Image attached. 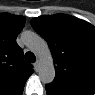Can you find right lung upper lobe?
I'll return each mask as SVG.
<instances>
[{"instance_id": "1", "label": "right lung upper lobe", "mask_w": 95, "mask_h": 95, "mask_svg": "<svg viewBox=\"0 0 95 95\" xmlns=\"http://www.w3.org/2000/svg\"><path fill=\"white\" fill-rule=\"evenodd\" d=\"M26 19L7 13L0 14V95H21L32 65L23 60V51L16 38Z\"/></svg>"}]
</instances>
